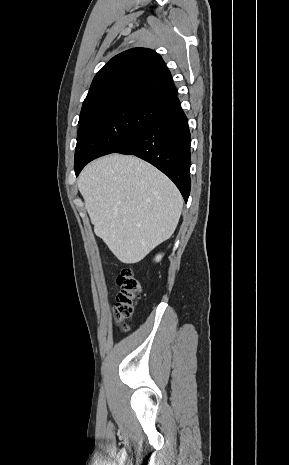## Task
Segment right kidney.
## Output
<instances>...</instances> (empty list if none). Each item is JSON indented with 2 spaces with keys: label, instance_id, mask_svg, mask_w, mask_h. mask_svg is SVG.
I'll return each instance as SVG.
<instances>
[{
  "label": "right kidney",
  "instance_id": "right-kidney-1",
  "mask_svg": "<svg viewBox=\"0 0 289 465\" xmlns=\"http://www.w3.org/2000/svg\"><path fill=\"white\" fill-rule=\"evenodd\" d=\"M161 258H162L161 254L157 255L156 258H155L156 262H159L161 260Z\"/></svg>",
  "mask_w": 289,
  "mask_h": 465
}]
</instances>
